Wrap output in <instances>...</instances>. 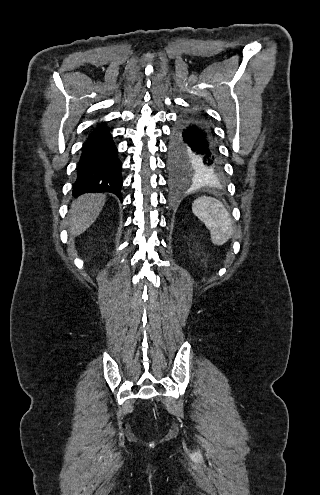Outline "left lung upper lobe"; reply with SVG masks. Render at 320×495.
<instances>
[{
    "label": "left lung upper lobe",
    "mask_w": 320,
    "mask_h": 495,
    "mask_svg": "<svg viewBox=\"0 0 320 495\" xmlns=\"http://www.w3.org/2000/svg\"><path fill=\"white\" fill-rule=\"evenodd\" d=\"M168 164L175 176L207 175L206 165L198 152L192 148L185 130L180 125H177L173 131Z\"/></svg>",
    "instance_id": "left-lung-upper-lobe-1"
}]
</instances>
